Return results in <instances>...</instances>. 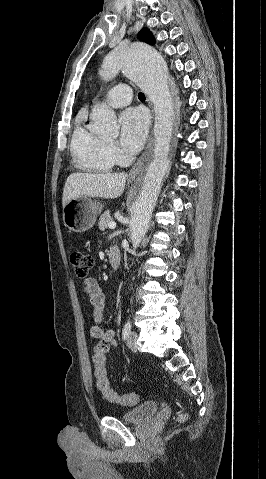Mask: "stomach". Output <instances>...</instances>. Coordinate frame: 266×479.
Returning <instances> with one entry per match:
<instances>
[{
	"instance_id": "obj_1",
	"label": "stomach",
	"mask_w": 266,
	"mask_h": 479,
	"mask_svg": "<svg viewBox=\"0 0 266 479\" xmlns=\"http://www.w3.org/2000/svg\"><path fill=\"white\" fill-rule=\"evenodd\" d=\"M102 209L101 203L87 196L72 199L63 207L64 225L73 232H85L93 227Z\"/></svg>"
}]
</instances>
